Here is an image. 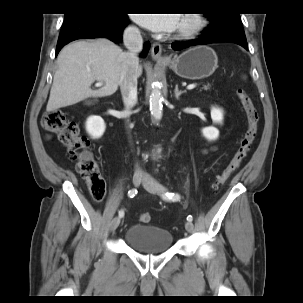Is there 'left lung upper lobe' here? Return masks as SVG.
<instances>
[{"label": "left lung upper lobe", "mask_w": 303, "mask_h": 303, "mask_svg": "<svg viewBox=\"0 0 303 303\" xmlns=\"http://www.w3.org/2000/svg\"><path fill=\"white\" fill-rule=\"evenodd\" d=\"M210 19V26L205 28L204 34L215 33H244L243 25L238 13H215L206 15Z\"/></svg>", "instance_id": "1"}]
</instances>
